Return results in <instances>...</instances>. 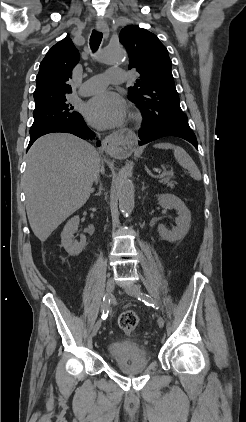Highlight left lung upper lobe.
Here are the masks:
<instances>
[{"mask_svg":"<svg viewBox=\"0 0 246 422\" xmlns=\"http://www.w3.org/2000/svg\"><path fill=\"white\" fill-rule=\"evenodd\" d=\"M119 41L129 55V69L135 68L139 78L128 89V98L142 111L147 126L169 121L188 122L179 104L171 72L172 62L166 47L146 29L127 26Z\"/></svg>","mask_w":246,"mask_h":422,"instance_id":"5c2ea615","label":"left lung upper lobe"}]
</instances>
